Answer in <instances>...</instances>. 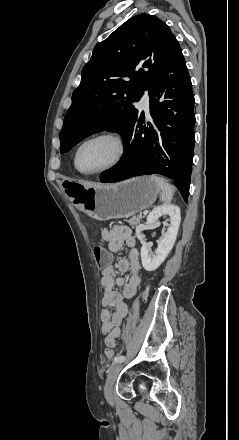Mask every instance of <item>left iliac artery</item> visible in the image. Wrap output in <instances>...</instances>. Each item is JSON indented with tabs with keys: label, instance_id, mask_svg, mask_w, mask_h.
<instances>
[{
	"label": "left iliac artery",
	"instance_id": "obj_1",
	"mask_svg": "<svg viewBox=\"0 0 239 440\" xmlns=\"http://www.w3.org/2000/svg\"><path fill=\"white\" fill-rule=\"evenodd\" d=\"M125 361V356H118L114 359L113 363H121Z\"/></svg>",
	"mask_w": 239,
	"mask_h": 440
}]
</instances>
